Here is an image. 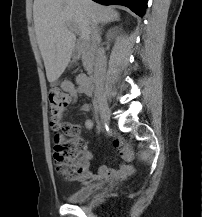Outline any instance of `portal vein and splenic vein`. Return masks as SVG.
<instances>
[{
	"mask_svg": "<svg viewBox=\"0 0 202 217\" xmlns=\"http://www.w3.org/2000/svg\"><path fill=\"white\" fill-rule=\"evenodd\" d=\"M67 26L72 30L74 31L75 33H79V30L76 28V26L68 23Z\"/></svg>",
	"mask_w": 202,
	"mask_h": 217,
	"instance_id": "obj_1",
	"label": "portal vein and splenic vein"
}]
</instances>
